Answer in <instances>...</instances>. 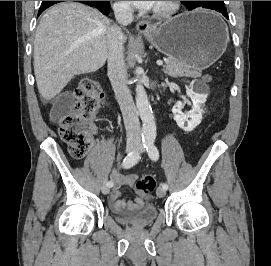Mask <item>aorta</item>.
Here are the masks:
<instances>
[{"label": "aorta", "mask_w": 271, "mask_h": 266, "mask_svg": "<svg viewBox=\"0 0 271 266\" xmlns=\"http://www.w3.org/2000/svg\"><path fill=\"white\" fill-rule=\"evenodd\" d=\"M136 74H140V68H136ZM136 106L141 117L142 136L145 140H153L156 137V125L154 115L148 100L147 93L141 82L136 85Z\"/></svg>", "instance_id": "1"}]
</instances>
